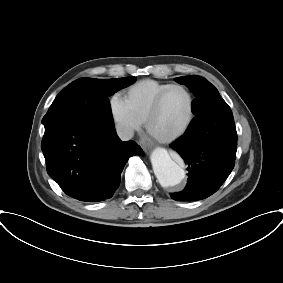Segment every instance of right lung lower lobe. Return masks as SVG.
Here are the masks:
<instances>
[{"mask_svg":"<svg viewBox=\"0 0 283 283\" xmlns=\"http://www.w3.org/2000/svg\"><path fill=\"white\" fill-rule=\"evenodd\" d=\"M49 176L70 197L98 202L113 196L127 160L143 151L122 142L114 124L64 119L45 127L41 145Z\"/></svg>","mask_w":283,"mask_h":283,"instance_id":"98d812e1","label":"right lung lower lobe"}]
</instances>
